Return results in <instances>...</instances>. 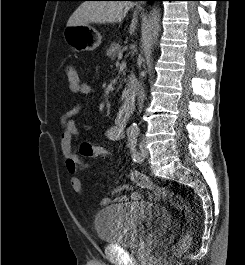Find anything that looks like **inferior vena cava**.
I'll use <instances>...</instances> for the list:
<instances>
[{"instance_id":"602c4592","label":"inferior vena cava","mask_w":245,"mask_h":265,"mask_svg":"<svg viewBox=\"0 0 245 265\" xmlns=\"http://www.w3.org/2000/svg\"><path fill=\"white\" fill-rule=\"evenodd\" d=\"M143 100H144V90L140 84V91L138 93V104L140 109L142 108Z\"/></svg>"}]
</instances>
